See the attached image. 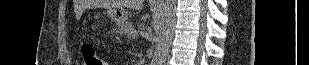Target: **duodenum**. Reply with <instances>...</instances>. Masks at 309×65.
Wrapping results in <instances>:
<instances>
[{"mask_svg":"<svg viewBox=\"0 0 309 65\" xmlns=\"http://www.w3.org/2000/svg\"><path fill=\"white\" fill-rule=\"evenodd\" d=\"M138 65H142V62H138Z\"/></svg>","mask_w":309,"mask_h":65,"instance_id":"410a0bca","label":"duodenum"}]
</instances>
